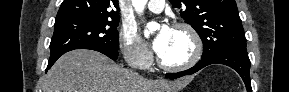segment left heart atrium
Returning a JSON list of instances; mask_svg holds the SVG:
<instances>
[{
    "instance_id": "left-heart-atrium-1",
    "label": "left heart atrium",
    "mask_w": 289,
    "mask_h": 92,
    "mask_svg": "<svg viewBox=\"0 0 289 92\" xmlns=\"http://www.w3.org/2000/svg\"><path fill=\"white\" fill-rule=\"evenodd\" d=\"M172 29L168 25H162L156 36L152 41V47L154 51L160 55L165 50L169 38L171 36Z\"/></svg>"
}]
</instances>
